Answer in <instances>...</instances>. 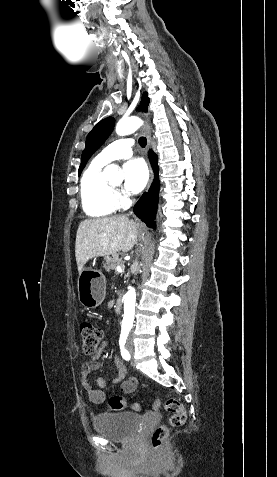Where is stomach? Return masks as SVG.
I'll use <instances>...</instances> for the list:
<instances>
[{"label":"stomach","instance_id":"0dacf381","mask_svg":"<svg viewBox=\"0 0 277 477\" xmlns=\"http://www.w3.org/2000/svg\"><path fill=\"white\" fill-rule=\"evenodd\" d=\"M78 300L85 308L98 307L106 295V280L101 272L83 268L77 281Z\"/></svg>","mask_w":277,"mask_h":477}]
</instances>
